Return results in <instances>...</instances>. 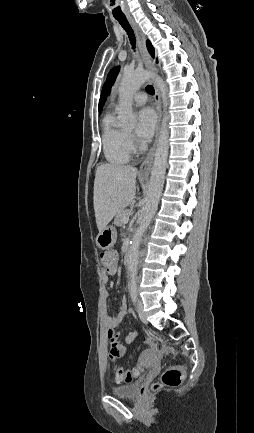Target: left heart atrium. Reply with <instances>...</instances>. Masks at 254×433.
I'll return each instance as SVG.
<instances>
[{
    "instance_id": "39dd6f15",
    "label": "left heart atrium",
    "mask_w": 254,
    "mask_h": 433,
    "mask_svg": "<svg viewBox=\"0 0 254 433\" xmlns=\"http://www.w3.org/2000/svg\"><path fill=\"white\" fill-rule=\"evenodd\" d=\"M156 115L151 108H143L138 113L137 134L142 139H148L154 133Z\"/></svg>"
}]
</instances>
